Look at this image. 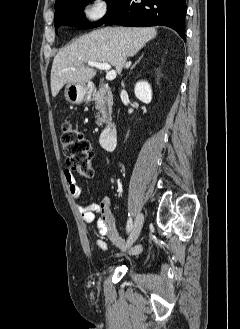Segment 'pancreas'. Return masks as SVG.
Masks as SVG:
<instances>
[{"label":"pancreas","instance_id":"1","mask_svg":"<svg viewBox=\"0 0 240 329\" xmlns=\"http://www.w3.org/2000/svg\"><path fill=\"white\" fill-rule=\"evenodd\" d=\"M95 107L99 111L96 115V123L102 125L111 116L112 113V98L106 94V91L101 89L94 97Z\"/></svg>","mask_w":240,"mask_h":329}]
</instances>
